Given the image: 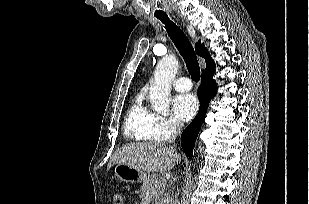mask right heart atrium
<instances>
[{"instance_id":"right-heart-atrium-1","label":"right heart atrium","mask_w":309,"mask_h":204,"mask_svg":"<svg viewBox=\"0 0 309 204\" xmlns=\"http://www.w3.org/2000/svg\"><path fill=\"white\" fill-rule=\"evenodd\" d=\"M182 129V124L172 115L154 114L150 133L153 139L168 140L176 136Z\"/></svg>"}]
</instances>
